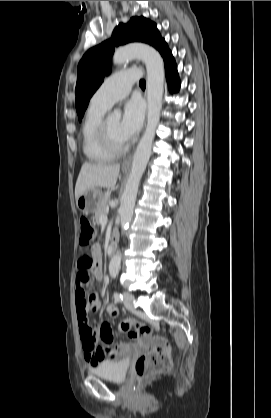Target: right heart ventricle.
I'll return each mask as SVG.
<instances>
[{
	"label": "right heart ventricle",
	"mask_w": 271,
	"mask_h": 418,
	"mask_svg": "<svg viewBox=\"0 0 271 418\" xmlns=\"http://www.w3.org/2000/svg\"><path fill=\"white\" fill-rule=\"evenodd\" d=\"M109 108L90 103L81 127L82 148L91 162L103 163L110 161L114 155L106 151L98 139V129Z\"/></svg>",
	"instance_id": "e07e8e85"
}]
</instances>
